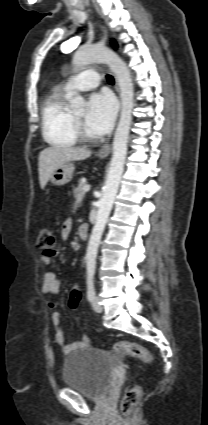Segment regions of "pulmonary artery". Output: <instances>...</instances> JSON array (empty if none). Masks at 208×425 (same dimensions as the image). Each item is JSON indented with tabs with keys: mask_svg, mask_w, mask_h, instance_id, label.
<instances>
[{
	"mask_svg": "<svg viewBox=\"0 0 208 425\" xmlns=\"http://www.w3.org/2000/svg\"><path fill=\"white\" fill-rule=\"evenodd\" d=\"M100 83L99 74L93 69H87L78 74L75 77L70 78L65 85V90L68 92L72 91H84L90 90L97 87Z\"/></svg>",
	"mask_w": 208,
	"mask_h": 425,
	"instance_id": "1",
	"label": "pulmonary artery"
}]
</instances>
